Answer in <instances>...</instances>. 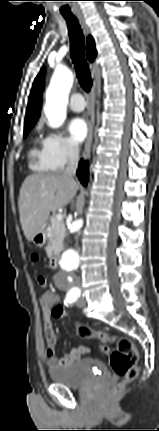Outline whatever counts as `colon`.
<instances>
[{
	"instance_id": "5ec220e1",
	"label": "colon",
	"mask_w": 159,
	"mask_h": 431,
	"mask_svg": "<svg viewBox=\"0 0 159 431\" xmlns=\"http://www.w3.org/2000/svg\"><path fill=\"white\" fill-rule=\"evenodd\" d=\"M57 292L54 289L49 291L47 304L53 308L51 319L53 322H60L65 317L66 322H78L74 317V311L66 314V308L61 301L55 302ZM76 331L79 337L84 339L94 338L102 343L100 353L106 355L113 371L121 378V382L116 384L111 390V397H117L123 391L125 385L133 381L138 374V353L133 342L123 336H118L104 330H94L89 325L83 323L76 324ZM109 345H112L110 347Z\"/></svg>"
}]
</instances>
